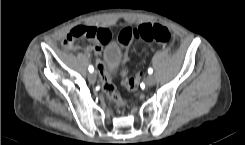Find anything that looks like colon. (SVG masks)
<instances>
[{
  "instance_id": "5ec220e1",
  "label": "colon",
  "mask_w": 245,
  "mask_h": 145,
  "mask_svg": "<svg viewBox=\"0 0 245 145\" xmlns=\"http://www.w3.org/2000/svg\"><path fill=\"white\" fill-rule=\"evenodd\" d=\"M104 34L102 31H97L92 27L87 26H75L73 27L64 39V44L69 45L75 41H93L98 36ZM172 39V33L170 29L164 25L157 23H144L139 27H128L122 30L118 35V42L122 48V57L119 66L120 77L126 86V88L135 92L140 83L142 74L137 72L135 76L128 77L126 66L129 61V51L138 52L139 47L137 43L139 41L145 42H159L167 44ZM102 76L103 89L106 95L115 102L119 111L127 109L128 104L123 100L115 91V88L110 80L108 74H104L99 70Z\"/></svg>"
}]
</instances>
